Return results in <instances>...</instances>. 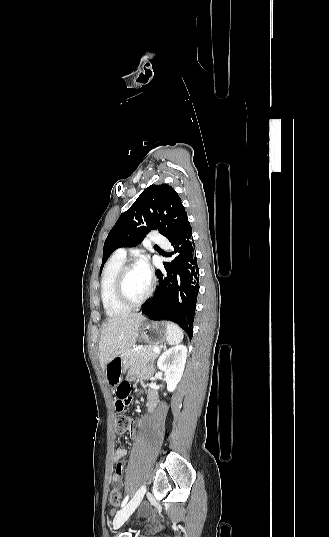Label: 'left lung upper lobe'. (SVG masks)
<instances>
[{"instance_id": "1", "label": "left lung upper lobe", "mask_w": 329, "mask_h": 537, "mask_svg": "<svg viewBox=\"0 0 329 537\" xmlns=\"http://www.w3.org/2000/svg\"><path fill=\"white\" fill-rule=\"evenodd\" d=\"M188 222L187 212L175 190L167 184L147 187L109 232L103 248V266L120 247H134L157 230L172 240Z\"/></svg>"}]
</instances>
